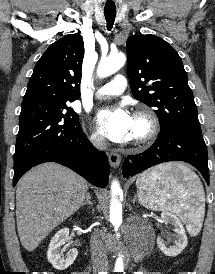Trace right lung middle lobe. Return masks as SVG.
<instances>
[{
  "mask_svg": "<svg viewBox=\"0 0 215 274\" xmlns=\"http://www.w3.org/2000/svg\"><path fill=\"white\" fill-rule=\"evenodd\" d=\"M14 164L44 144L81 129L66 101L38 100L22 104Z\"/></svg>",
  "mask_w": 215,
  "mask_h": 274,
  "instance_id": "obj_1",
  "label": "right lung middle lobe"
}]
</instances>
